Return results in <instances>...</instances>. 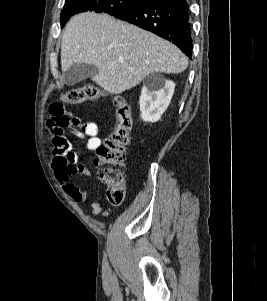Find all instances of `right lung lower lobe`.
<instances>
[{
    "label": "right lung lower lobe",
    "instance_id": "1",
    "mask_svg": "<svg viewBox=\"0 0 267 301\" xmlns=\"http://www.w3.org/2000/svg\"><path fill=\"white\" fill-rule=\"evenodd\" d=\"M115 17L171 41L191 58L192 30L186 0H147Z\"/></svg>",
    "mask_w": 267,
    "mask_h": 301
}]
</instances>
